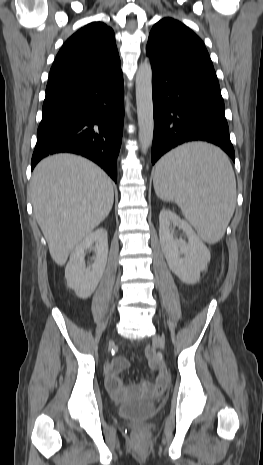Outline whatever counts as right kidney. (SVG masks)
I'll list each match as a JSON object with an SVG mask.
<instances>
[{
	"label": "right kidney",
	"mask_w": 263,
	"mask_h": 465,
	"mask_svg": "<svg viewBox=\"0 0 263 465\" xmlns=\"http://www.w3.org/2000/svg\"><path fill=\"white\" fill-rule=\"evenodd\" d=\"M95 246L93 247V244ZM93 249L94 263L86 267L85 251ZM108 256L107 232L99 228L86 236L73 250L65 268L67 286L79 298L86 299L95 291L105 270Z\"/></svg>",
	"instance_id": "1"
}]
</instances>
